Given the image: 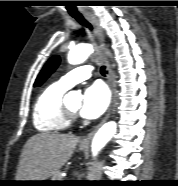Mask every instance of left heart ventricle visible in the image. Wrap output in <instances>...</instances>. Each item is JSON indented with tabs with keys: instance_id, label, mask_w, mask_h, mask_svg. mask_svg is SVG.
Wrapping results in <instances>:
<instances>
[{
	"instance_id": "1",
	"label": "left heart ventricle",
	"mask_w": 178,
	"mask_h": 186,
	"mask_svg": "<svg viewBox=\"0 0 178 186\" xmlns=\"http://www.w3.org/2000/svg\"><path fill=\"white\" fill-rule=\"evenodd\" d=\"M68 108L74 112V113H77L79 111V108H80V103H76V104H68L67 105Z\"/></svg>"
}]
</instances>
